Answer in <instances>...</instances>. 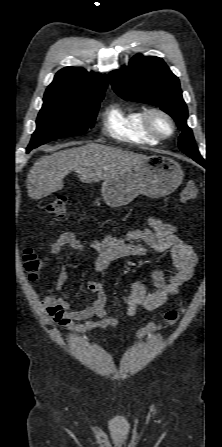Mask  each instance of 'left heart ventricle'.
Instances as JSON below:
<instances>
[{
    "label": "left heart ventricle",
    "mask_w": 222,
    "mask_h": 447,
    "mask_svg": "<svg viewBox=\"0 0 222 447\" xmlns=\"http://www.w3.org/2000/svg\"><path fill=\"white\" fill-rule=\"evenodd\" d=\"M154 125H155L156 129L158 131H160L161 133L167 134L170 131V126H169L168 122L161 117H156L154 119Z\"/></svg>",
    "instance_id": "obj_1"
}]
</instances>
